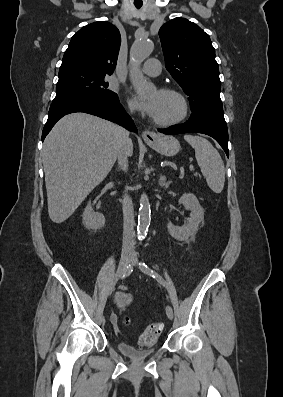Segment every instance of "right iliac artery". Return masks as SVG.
Masks as SVG:
<instances>
[{
	"instance_id": "82829eb1",
	"label": "right iliac artery",
	"mask_w": 283,
	"mask_h": 397,
	"mask_svg": "<svg viewBox=\"0 0 283 397\" xmlns=\"http://www.w3.org/2000/svg\"><path fill=\"white\" fill-rule=\"evenodd\" d=\"M132 271H133V267L129 264V265L127 266L126 270H125L124 273H123V277H124V276L130 275Z\"/></svg>"
}]
</instances>
